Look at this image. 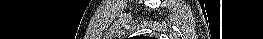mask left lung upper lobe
<instances>
[{
    "instance_id": "5c2ea615",
    "label": "left lung upper lobe",
    "mask_w": 263,
    "mask_h": 39,
    "mask_svg": "<svg viewBox=\"0 0 263 39\" xmlns=\"http://www.w3.org/2000/svg\"><path fill=\"white\" fill-rule=\"evenodd\" d=\"M131 39H155V38L148 36H136V37H132Z\"/></svg>"
}]
</instances>
